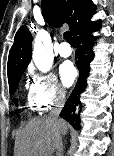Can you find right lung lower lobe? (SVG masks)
I'll return each instance as SVG.
<instances>
[{
  "instance_id": "right-lung-lower-lobe-1",
  "label": "right lung lower lobe",
  "mask_w": 114,
  "mask_h": 156,
  "mask_svg": "<svg viewBox=\"0 0 114 156\" xmlns=\"http://www.w3.org/2000/svg\"><path fill=\"white\" fill-rule=\"evenodd\" d=\"M90 18L73 35L77 45L75 56L80 76L73 92L60 113V116L67 120L75 129L80 128L78 125L80 123L81 108L80 94L86 87V78L89 72L90 62L94 56L91 50L94 37L91 36V33L95 30H99L101 27L100 21L95 23L90 21Z\"/></svg>"
}]
</instances>
